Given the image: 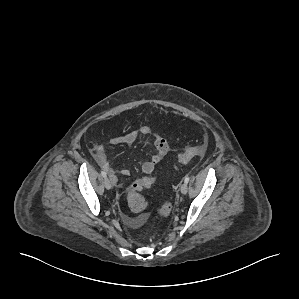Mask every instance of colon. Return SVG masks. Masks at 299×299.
<instances>
[{"label":"colon","mask_w":299,"mask_h":299,"mask_svg":"<svg viewBox=\"0 0 299 299\" xmlns=\"http://www.w3.org/2000/svg\"><path fill=\"white\" fill-rule=\"evenodd\" d=\"M206 152V146L205 145H197L187 148L184 152L180 153L178 155L176 166L186 164L192 159L196 157H200L204 155ZM157 181V177H142L140 179H137L134 181V183L131 185L129 191H128V205L134 212H140L146 207V202L140 192L144 188H148L152 186ZM171 211V204L165 203L163 206L159 209V215L166 217L169 215ZM144 221V217H141L137 224H140Z\"/></svg>","instance_id":"obj_1"}]
</instances>
